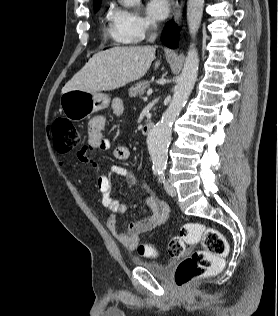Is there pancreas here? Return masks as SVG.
<instances>
[{"label":"pancreas","mask_w":278,"mask_h":316,"mask_svg":"<svg viewBox=\"0 0 278 316\" xmlns=\"http://www.w3.org/2000/svg\"><path fill=\"white\" fill-rule=\"evenodd\" d=\"M150 82L149 81H140L137 82L134 86L129 89V96L130 97H141L145 91L149 88Z\"/></svg>","instance_id":"pancreas-1"}]
</instances>
